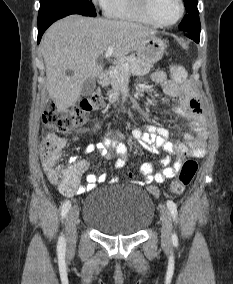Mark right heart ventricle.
Here are the masks:
<instances>
[{"label":"right heart ventricle","mask_w":233,"mask_h":284,"mask_svg":"<svg viewBox=\"0 0 233 284\" xmlns=\"http://www.w3.org/2000/svg\"><path fill=\"white\" fill-rule=\"evenodd\" d=\"M104 10L109 18L144 25H154L141 8L140 0H107Z\"/></svg>","instance_id":"obj_1"}]
</instances>
